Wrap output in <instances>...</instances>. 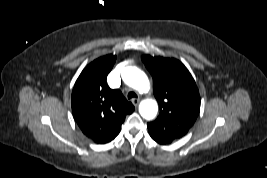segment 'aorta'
<instances>
[{"label": "aorta", "instance_id": "1", "mask_svg": "<svg viewBox=\"0 0 267 178\" xmlns=\"http://www.w3.org/2000/svg\"><path fill=\"white\" fill-rule=\"evenodd\" d=\"M122 79L139 93H146L150 89L147 75L135 66H128L122 70ZM158 105L153 99H145L139 105V113L146 120H151L157 115Z\"/></svg>", "mask_w": 267, "mask_h": 178}]
</instances>
